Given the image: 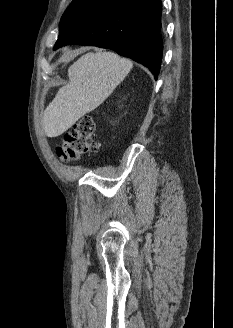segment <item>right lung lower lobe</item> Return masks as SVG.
Masks as SVG:
<instances>
[{"instance_id":"98d812e1","label":"right lung lower lobe","mask_w":233,"mask_h":328,"mask_svg":"<svg viewBox=\"0 0 233 328\" xmlns=\"http://www.w3.org/2000/svg\"><path fill=\"white\" fill-rule=\"evenodd\" d=\"M161 0H92L63 18L54 50L66 44L109 48L150 69L163 54Z\"/></svg>"}]
</instances>
